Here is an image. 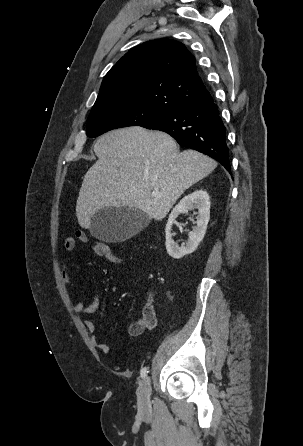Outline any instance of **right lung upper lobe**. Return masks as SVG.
I'll use <instances>...</instances> for the list:
<instances>
[{"label": "right lung upper lobe", "instance_id": "right-lung-upper-lobe-1", "mask_svg": "<svg viewBox=\"0 0 303 446\" xmlns=\"http://www.w3.org/2000/svg\"><path fill=\"white\" fill-rule=\"evenodd\" d=\"M194 56L175 40L145 42L126 53L106 74L93 108L140 103L171 110L208 94Z\"/></svg>", "mask_w": 303, "mask_h": 446}]
</instances>
